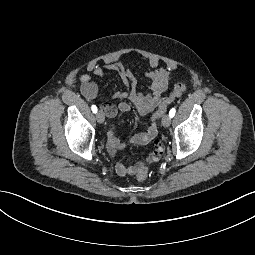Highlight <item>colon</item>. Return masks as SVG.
<instances>
[{
  "label": "colon",
  "instance_id": "obj_1",
  "mask_svg": "<svg viewBox=\"0 0 255 255\" xmlns=\"http://www.w3.org/2000/svg\"><path fill=\"white\" fill-rule=\"evenodd\" d=\"M186 91V84L179 82L173 87L171 93L162 98L159 102L157 110L152 114L150 118V124L157 123L158 119L166 112L168 106L179 98ZM136 179L140 182L145 181L149 176L147 169L139 170L136 174Z\"/></svg>",
  "mask_w": 255,
  "mask_h": 255
}]
</instances>
